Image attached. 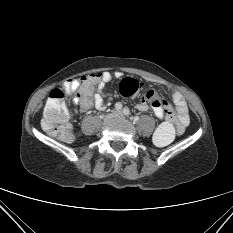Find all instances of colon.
I'll list each match as a JSON object with an SVG mask.
<instances>
[{
    "instance_id": "1",
    "label": "colon",
    "mask_w": 233,
    "mask_h": 233,
    "mask_svg": "<svg viewBox=\"0 0 233 233\" xmlns=\"http://www.w3.org/2000/svg\"><path fill=\"white\" fill-rule=\"evenodd\" d=\"M100 74L83 77V86L86 92L94 90ZM140 88V83L132 78L122 80L120 92L124 96L135 94ZM158 94L150 90L146 94L147 99H154ZM167 117H170V111L165 110ZM42 124L52 135L58 137L64 142H71L73 139V128L68 121V112L64 101V94L60 89H53L47 98L44 108ZM175 137V129L171 122L160 124L154 134V142L158 146H166L172 142Z\"/></svg>"
}]
</instances>
